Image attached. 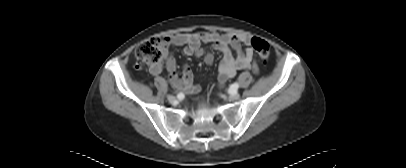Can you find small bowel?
<instances>
[{
  "label": "small bowel",
  "mask_w": 406,
  "mask_h": 168,
  "mask_svg": "<svg viewBox=\"0 0 406 168\" xmlns=\"http://www.w3.org/2000/svg\"><path fill=\"white\" fill-rule=\"evenodd\" d=\"M169 43L174 46H183L184 54L187 56H204L206 64L211 65L214 56L211 51H205L202 43H211L212 50L223 54L222 60L218 67V85L224 86L228 79L234 77L240 70L250 69L258 72V66L255 61L254 53L251 48H242V44H248L250 37L246 34H221L217 32H196V33H179L168 38ZM166 69L173 86L183 90L188 94L200 92V87L194 83L193 74L188 66H185L182 75L177 74L176 62L173 57L166 61ZM153 75L162 72L161 64L151 65L149 68Z\"/></svg>",
  "instance_id": "c3829d8e"
}]
</instances>
